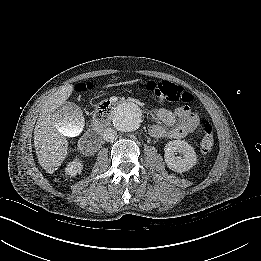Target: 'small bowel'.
<instances>
[{
  "mask_svg": "<svg viewBox=\"0 0 261 261\" xmlns=\"http://www.w3.org/2000/svg\"><path fill=\"white\" fill-rule=\"evenodd\" d=\"M155 114L165 126L150 127V135L156 138L180 139L201 128L199 116L188 106L178 107L174 111L159 108Z\"/></svg>",
  "mask_w": 261,
  "mask_h": 261,
  "instance_id": "small-bowel-1",
  "label": "small bowel"
}]
</instances>
